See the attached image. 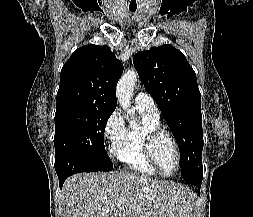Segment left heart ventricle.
I'll list each match as a JSON object with an SVG mask.
<instances>
[{"mask_svg":"<svg viewBox=\"0 0 253 217\" xmlns=\"http://www.w3.org/2000/svg\"><path fill=\"white\" fill-rule=\"evenodd\" d=\"M154 152L161 170L166 174L173 173L176 169L177 161L170 139L166 136L160 137L155 143Z\"/></svg>","mask_w":253,"mask_h":217,"instance_id":"1","label":"left heart ventricle"}]
</instances>
